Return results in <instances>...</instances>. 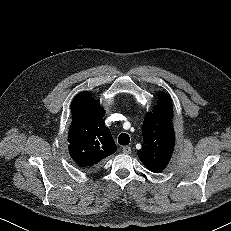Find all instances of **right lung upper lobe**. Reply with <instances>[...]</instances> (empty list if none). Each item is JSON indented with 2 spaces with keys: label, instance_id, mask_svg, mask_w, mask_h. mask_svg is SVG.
<instances>
[{
  "label": "right lung upper lobe",
  "instance_id": "cb5924a9",
  "mask_svg": "<svg viewBox=\"0 0 231 231\" xmlns=\"http://www.w3.org/2000/svg\"><path fill=\"white\" fill-rule=\"evenodd\" d=\"M72 124L68 148L79 166L94 168L117 150L110 130L105 126V110L89 92L78 94L71 105Z\"/></svg>",
  "mask_w": 231,
  "mask_h": 231
}]
</instances>
